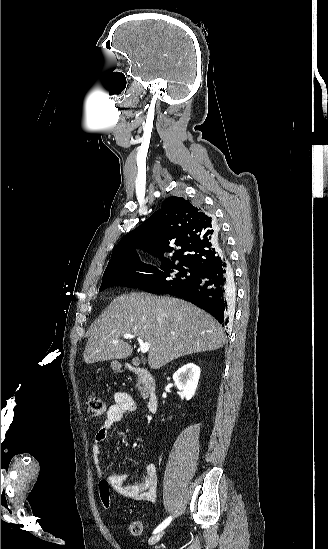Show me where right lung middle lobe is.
<instances>
[{
  "label": "right lung middle lobe",
  "instance_id": "obj_1",
  "mask_svg": "<svg viewBox=\"0 0 328 549\" xmlns=\"http://www.w3.org/2000/svg\"><path fill=\"white\" fill-rule=\"evenodd\" d=\"M196 270L182 265L162 263L160 269L138 260H126L107 268L103 274L100 291L114 285L133 286L161 294L186 284L195 276Z\"/></svg>",
  "mask_w": 328,
  "mask_h": 549
}]
</instances>
